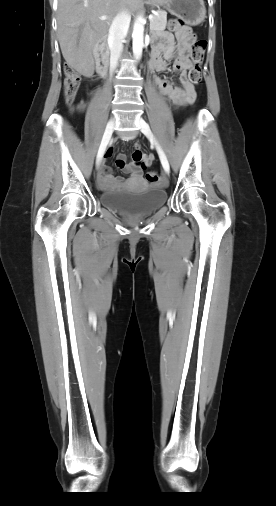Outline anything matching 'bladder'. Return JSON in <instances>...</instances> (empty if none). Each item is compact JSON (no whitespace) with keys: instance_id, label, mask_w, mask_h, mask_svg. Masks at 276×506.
<instances>
[{"instance_id":"obj_1","label":"bladder","mask_w":276,"mask_h":506,"mask_svg":"<svg viewBox=\"0 0 276 506\" xmlns=\"http://www.w3.org/2000/svg\"><path fill=\"white\" fill-rule=\"evenodd\" d=\"M166 199V191L154 187L141 191H111L100 194L104 206L130 216L149 215L161 207Z\"/></svg>"}]
</instances>
